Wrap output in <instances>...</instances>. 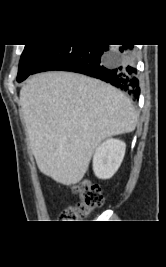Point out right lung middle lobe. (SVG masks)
<instances>
[{
    "label": "right lung middle lobe",
    "instance_id": "right-lung-middle-lobe-1",
    "mask_svg": "<svg viewBox=\"0 0 166 267\" xmlns=\"http://www.w3.org/2000/svg\"><path fill=\"white\" fill-rule=\"evenodd\" d=\"M56 47L54 44L25 45L20 58L17 81L25 80L43 59Z\"/></svg>",
    "mask_w": 166,
    "mask_h": 267
}]
</instances>
